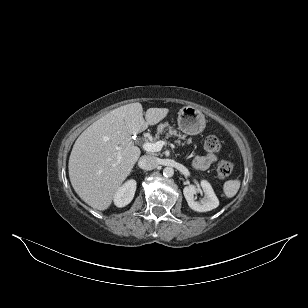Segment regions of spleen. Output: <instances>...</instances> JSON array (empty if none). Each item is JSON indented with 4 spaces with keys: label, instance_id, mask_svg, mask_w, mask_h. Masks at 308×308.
Returning a JSON list of instances; mask_svg holds the SVG:
<instances>
[{
    "label": "spleen",
    "instance_id": "obj_1",
    "mask_svg": "<svg viewBox=\"0 0 308 308\" xmlns=\"http://www.w3.org/2000/svg\"><path fill=\"white\" fill-rule=\"evenodd\" d=\"M240 188V180H228L223 185V191L226 197L232 198L234 197Z\"/></svg>",
    "mask_w": 308,
    "mask_h": 308
}]
</instances>
